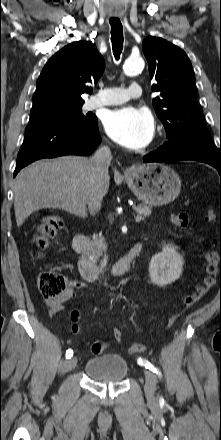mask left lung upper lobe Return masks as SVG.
I'll use <instances>...</instances> for the list:
<instances>
[{
  "instance_id": "1",
  "label": "left lung upper lobe",
  "mask_w": 221,
  "mask_h": 440,
  "mask_svg": "<svg viewBox=\"0 0 221 440\" xmlns=\"http://www.w3.org/2000/svg\"><path fill=\"white\" fill-rule=\"evenodd\" d=\"M143 52L155 80L152 91L160 92L153 106L169 139L166 147L181 154L221 158L198 106L195 75L186 53L153 36L144 39Z\"/></svg>"
}]
</instances>
